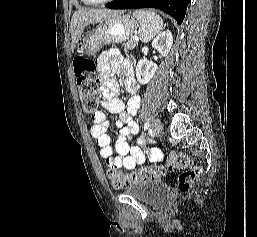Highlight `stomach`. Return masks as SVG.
Returning <instances> with one entry per match:
<instances>
[{"label":"stomach","mask_w":257,"mask_h":237,"mask_svg":"<svg viewBox=\"0 0 257 237\" xmlns=\"http://www.w3.org/2000/svg\"><path fill=\"white\" fill-rule=\"evenodd\" d=\"M139 26L131 15L116 13L101 21L84 37L85 55H95L104 45L129 40Z\"/></svg>","instance_id":"1"}]
</instances>
